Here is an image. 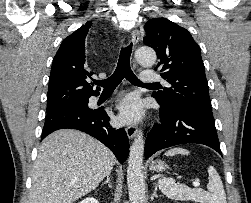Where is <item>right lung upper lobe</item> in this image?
<instances>
[{"label": "right lung upper lobe", "instance_id": "obj_1", "mask_svg": "<svg viewBox=\"0 0 251 203\" xmlns=\"http://www.w3.org/2000/svg\"><path fill=\"white\" fill-rule=\"evenodd\" d=\"M91 24L87 22L65 38L54 57L47 97L48 112L98 94L99 90H93L90 83L93 72L85 63V38Z\"/></svg>", "mask_w": 251, "mask_h": 203}]
</instances>
